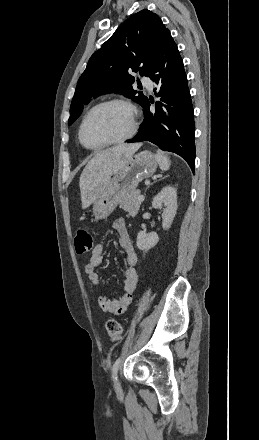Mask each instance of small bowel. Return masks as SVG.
<instances>
[{"mask_svg": "<svg viewBox=\"0 0 259 440\" xmlns=\"http://www.w3.org/2000/svg\"><path fill=\"white\" fill-rule=\"evenodd\" d=\"M112 227L118 234L119 245L126 257L127 268L124 272L123 291L119 299H109L105 296H100L98 298V305L107 313L119 315L127 310L132 300V294L136 288L138 274L135 265L138 262V256L128 233L125 220L123 218L116 219ZM103 252L104 246L101 243L96 244L91 252L89 261L84 267L90 282L95 286H98L101 282L96 269L100 267L103 262Z\"/></svg>", "mask_w": 259, "mask_h": 440, "instance_id": "small-bowel-1", "label": "small bowel"}]
</instances>
